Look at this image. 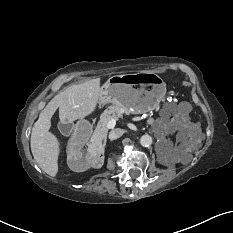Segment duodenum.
I'll return each mask as SVG.
<instances>
[{"instance_id":"obj_1","label":"duodenum","mask_w":233,"mask_h":233,"mask_svg":"<svg viewBox=\"0 0 233 233\" xmlns=\"http://www.w3.org/2000/svg\"><path fill=\"white\" fill-rule=\"evenodd\" d=\"M92 131L85 123H80L76 128L72 139L77 142H86L91 139Z\"/></svg>"}]
</instances>
